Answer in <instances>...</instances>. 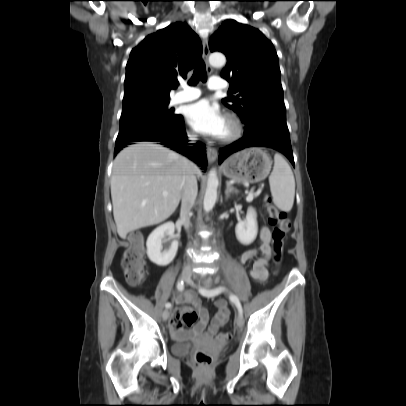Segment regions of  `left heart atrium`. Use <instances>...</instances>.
Returning <instances> with one entry per match:
<instances>
[{
	"label": "left heart atrium",
	"mask_w": 406,
	"mask_h": 406,
	"mask_svg": "<svg viewBox=\"0 0 406 406\" xmlns=\"http://www.w3.org/2000/svg\"><path fill=\"white\" fill-rule=\"evenodd\" d=\"M189 125L198 133L220 138L225 126V118L216 105L200 100L186 109Z\"/></svg>",
	"instance_id": "obj_1"
}]
</instances>
